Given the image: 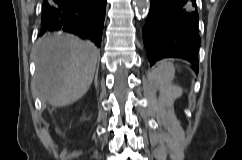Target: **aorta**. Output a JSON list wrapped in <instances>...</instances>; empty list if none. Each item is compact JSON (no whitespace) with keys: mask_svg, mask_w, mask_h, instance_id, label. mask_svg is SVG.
Here are the masks:
<instances>
[{"mask_svg":"<svg viewBox=\"0 0 242 160\" xmlns=\"http://www.w3.org/2000/svg\"><path fill=\"white\" fill-rule=\"evenodd\" d=\"M135 6L139 13H145L148 10L149 0H135Z\"/></svg>","mask_w":242,"mask_h":160,"instance_id":"1","label":"aorta"}]
</instances>
